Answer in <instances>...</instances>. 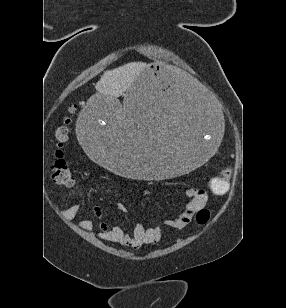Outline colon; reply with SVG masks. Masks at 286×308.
Wrapping results in <instances>:
<instances>
[{"mask_svg": "<svg viewBox=\"0 0 286 308\" xmlns=\"http://www.w3.org/2000/svg\"><path fill=\"white\" fill-rule=\"evenodd\" d=\"M73 107L70 108L72 112ZM69 119L66 118L64 125L60 126L55 132V140L57 150L55 151V160L51 165L52 177L54 182L62 187H72L75 184V178L72 170L68 167L63 159L62 146L68 140V125ZM230 172L226 171L223 176L211 179L209 187L213 193H225L229 188ZM210 218V212L206 208H202L197 212L196 221L199 225H204Z\"/></svg>", "mask_w": 286, "mask_h": 308, "instance_id": "1", "label": "colon"}]
</instances>
